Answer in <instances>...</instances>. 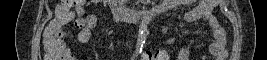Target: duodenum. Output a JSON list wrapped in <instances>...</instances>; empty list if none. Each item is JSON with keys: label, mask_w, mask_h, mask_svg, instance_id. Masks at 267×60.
Masks as SVG:
<instances>
[{"label": "duodenum", "mask_w": 267, "mask_h": 60, "mask_svg": "<svg viewBox=\"0 0 267 60\" xmlns=\"http://www.w3.org/2000/svg\"><path fill=\"white\" fill-rule=\"evenodd\" d=\"M113 16L116 19H129L131 21H138L144 18H158L162 9H135L126 5H122L120 0H108Z\"/></svg>", "instance_id": "obj_1"}]
</instances>
